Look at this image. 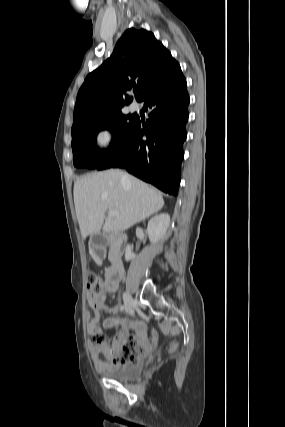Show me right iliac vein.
<instances>
[{
    "mask_svg": "<svg viewBox=\"0 0 285 427\" xmlns=\"http://www.w3.org/2000/svg\"><path fill=\"white\" fill-rule=\"evenodd\" d=\"M123 300H124L126 312H130L133 308V305H134V299L132 298V296L129 292H124Z\"/></svg>",
    "mask_w": 285,
    "mask_h": 427,
    "instance_id": "1",
    "label": "right iliac vein"
}]
</instances>
